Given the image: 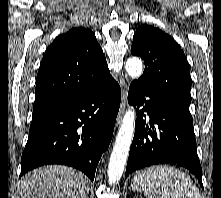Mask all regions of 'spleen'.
<instances>
[{"instance_id": "1", "label": "spleen", "mask_w": 221, "mask_h": 198, "mask_svg": "<svg viewBox=\"0 0 221 198\" xmlns=\"http://www.w3.org/2000/svg\"><path fill=\"white\" fill-rule=\"evenodd\" d=\"M131 187L134 191H145L147 198H201L198 188L188 175L166 165L138 172Z\"/></svg>"}]
</instances>
